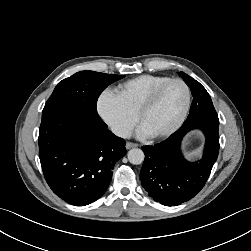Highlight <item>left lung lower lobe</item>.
<instances>
[{"label": "left lung lower lobe", "mask_w": 251, "mask_h": 251, "mask_svg": "<svg viewBox=\"0 0 251 251\" xmlns=\"http://www.w3.org/2000/svg\"><path fill=\"white\" fill-rule=\"evenodd\" d=\"M219 120L199 119L183 124L165 141L143 146L145 160L140 172L149 196L165 206H177L193 198L205 185L219 152ZM200 129L206 136L203 158L188 162L180 145L185 134Z\"/></svg>", "instance_id": "0a47b994"}]
</instances>
